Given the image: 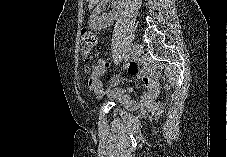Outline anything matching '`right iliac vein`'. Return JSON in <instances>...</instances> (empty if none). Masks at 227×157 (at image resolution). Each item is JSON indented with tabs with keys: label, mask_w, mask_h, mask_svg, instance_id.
Segmentation results:
<instances>
[{
	"label": "right iliac vein",
	"mask_w": 227,
	"mask_h": 157,
	"mask_svg": "<svg viewBox=\"0 0 227 157\" xmlns=\"http://www.w3.org/2000/svg\"><path fill=\"white\" fill-rule=\"evenodd\" d=\"M140 52V47L139 45H134L132 50H131V58L132 59H136L138 54ZM117 80L113 82L112 86H115L117 84Z\"/></svg>",
	"instance_id": "obj_1"
}]
</instances>
